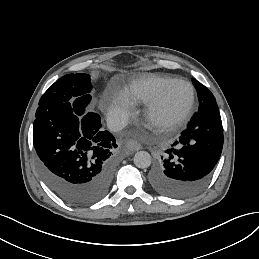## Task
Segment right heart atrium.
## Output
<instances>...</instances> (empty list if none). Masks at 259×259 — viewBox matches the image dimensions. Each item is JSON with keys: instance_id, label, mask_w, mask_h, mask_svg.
Listing matches in <instances>:
<instances>
[{"instance_id": "1", "label": "right heart atrium", "mask_w": 259, "mask_h": 259, "mask_svg": "<svg viewBox=\"0 0 259 259\" xmlns=\"http://www.w3.org/2000/svg\"><path fill=\"white\" fill-rule=\"evenodd\" d=\"M101 110L114 123L126 124L135 115L137 105L126 93L115 92L104 98Z\"/></svg>"}]
</instances>
